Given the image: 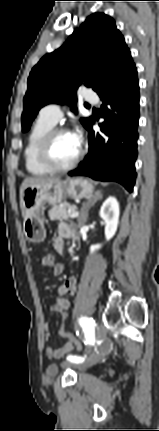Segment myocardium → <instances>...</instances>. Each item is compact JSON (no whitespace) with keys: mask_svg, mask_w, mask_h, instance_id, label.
Returning <instances> with one entry per match:
<instances>
[{"mask_svg":"<svg viewBox=\"0 0 159 431\" xmlns=\"http://www.w3.org/2000/svg\"><path fill=\"white\" fill-rule=\"evenodd\" d=\"M62 133L70 132L64 127H53L44 135L38 147L39 161L51 172H66L73 169L81 161L84 154L83 149L80 147L77 156L72 162L67 165H58L52 158L51 148L55 138Z\"/></svg>","mask_w":159,"mask_h":431,"instance_id":"f54148a6","label":"myocardium"}]
</instances>
